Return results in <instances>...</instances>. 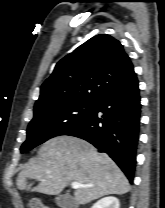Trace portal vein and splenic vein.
Listing matches in <instances>:
<instances>
[{"label": "portal vein and splenic vein", "instance_id": "portal-vein-and-splenic-vein-1", "mask_svg": "<svg viewBox=\"0 0 165 208\" xmlns=\"http://www.w3.org/2000/svg\"><path fill=\"white\" fill-rule=\"evenodd\" d=\"M71 186H72L73 189H78V188H82V187H89V186L79 184L78 182H72Z\"/></svg>", "mask_w": 165, "mask_h": 208}]
</instances>
